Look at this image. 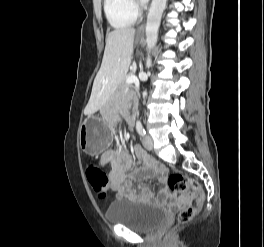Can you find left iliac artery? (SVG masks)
Returning <instances> with one entry per match:
<instances>
[{
  "mask_svg": "<svg viewBox=\"0 0 264 247\" xmlns=\"http://www.w3.org/2000/svg\"><path fill=\"white\" fill-rule=\"evenodd\" d=\"M136 129H137V132L140 136H145L146 135V131L141 123V121H137L136 122Z\"/></svg>",
  "mask_w": 264,
  "mask_h": 247,
  "instance_id": "left-iliac-artery-1",
  "label": "left iliac artery"
}]
</instances>
